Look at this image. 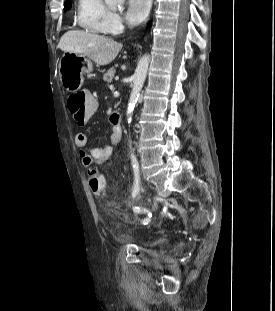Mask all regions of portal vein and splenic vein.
I'll return each instance as SVG.
<instances>
[{"label":"portal vein and splenic vein","instance_id":"18ae733b","mask_svg":"<svg viewBox=\"0 0 275 311\" xmlns=\"http://www.w3.org/2000/svg\"><path fill=\"white\" fill-rule=\"evenodd\" d=\"M112 88H113V86L111 85V86H110V89H112Z\"/></svg>","mask_w":275,"mask_h":311}]
</instances>
